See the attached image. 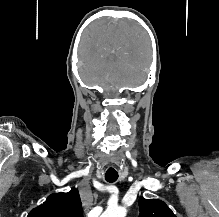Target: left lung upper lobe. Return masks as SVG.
Masks as SVG:
<instances>
[{"mask_svg": "<svg viewBox=\"0 0 219 217\" xmlns=\"http://www.w3.org/2000/svg\"><path fill=\"white\" fill-rule=\"evenodd\" d=\"M139 217H176L172 210L158 199H139Z\"/></svg>", "mask_w": 219, "mask_h": 217, "instance_id": "1", "label": "left lung upper lobe"}]
</instances>
